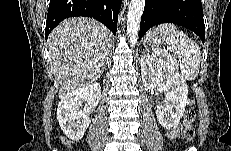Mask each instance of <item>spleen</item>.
Listing matches in <instances>:
<instances>
[{"mask_svg": "<svg viewBox=\"0 0 231 151\" xmlns=\"http://www.w3.org/2000/svg\"><path fill=\"white\" fill-rule=\"evenodd\" d=\"M166 48H157L158 56L167 58L173 68L179 67L186 80H195L199 73L201 52L199 46L173 24H162L156 28Z\"/></svg>", "mask_w": 231, "mask_h": 151, "instance_id": "1", "label": "spleen"}]
</instances>
